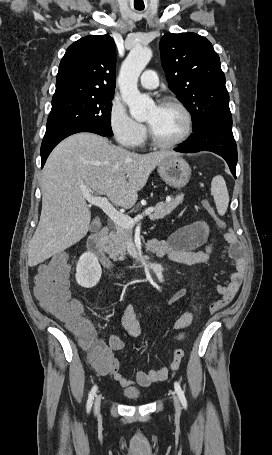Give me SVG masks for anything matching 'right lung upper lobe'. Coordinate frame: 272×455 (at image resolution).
Instances as JSON below:
<instances>
[{
  "label": "right lung upper lobe",
  "instance_id": "obj_1",
  "mask_svg": "<svg viewBox=\"0 0 272 455\" xmlns=\"http://www.w3.org/2000/svg\"><path fill=\"white\" fill-rule=\"evenodd\" d=\"M116 47L109 35H90L71 44L62 58L53 100L111 96L115 92Z\"/></svg>",
  "mask_w": 272,
  "mask_h": 455
}]
</instances>
